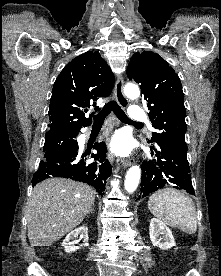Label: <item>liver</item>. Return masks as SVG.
Here are the masks:
<instances>
[{
  "label": "liver",
  "instance_id": "6515ba94",
  "mask_svg": "<svg viewBox=\"0 0 221 276\" xmlns=\"http://www.w3.org/2000/svg\"><path fill=\"white\" fill-rule=\"evenodd\" d=\"M95 201V190L69 179L50 178L36 185L27 203L28 239L50 246L76 228Z\"/></svg>",
  "mask_w": 221,
  "mask_h": 276
}]
</instances>
